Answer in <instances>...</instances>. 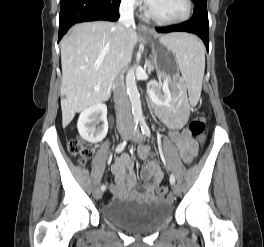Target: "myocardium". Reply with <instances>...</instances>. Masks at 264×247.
<instances>
[{
	"label": "myocardium",
	"mask_w": 264,
	"mask_h": 247,
	"mask_svg": "<svg viewBox=\"0 0 264 247\" xmlns=\"http://www.w3.org/2000/svg\"><path fill=\"white\" fill-rule=\"evenodd\" d=\"M185 4H186V11H185L184 15H182L179 18H175V19H165V18L159 17L158 15L155 14L152 7L148 8L147 13L152 20H154L155 22H157L159 24L177 25V24L187 22L192 16V12H193L192 0H185Z\"/></svg>",
	"instance_id": "myocardium-1"
}]
</instances>
